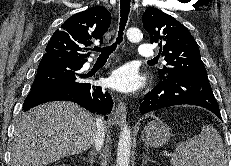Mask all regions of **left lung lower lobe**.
Returning <instances> with one entry per match:
<instances>
[{
    "mask_svg": "<svg viewBox=\"0 0 231 166\" xmlns=\"http://www.w3.org/2000/svg\"><path fill=\"white\" fill-rule=\"evenodd\" d=\"M197 105L213 112L221 119L218 103L207 76L167 74L149 92L140 105V113L173 105Z\"/></svg>",
    "mask_w": 231,
    "mask_h": 166,
    "instance_id": "obj_1",
    "label": "left lung lower lobe"
}]
</instances>
